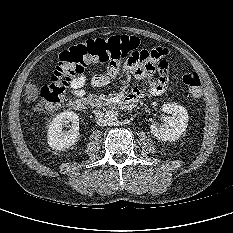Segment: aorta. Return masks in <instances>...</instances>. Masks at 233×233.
I'll use <instances>...</instances> for the list:
<instances>
[{"label": "aorta", "instance_id": "obj_1", "mask_svg": "<svg viewBox=\"0 0 233 233\" xmlns=\"http://www.w3.org/2000/svg\"><path fill=\"white\" fill-rule=\"evenodd\" d=\"M106 118L108 123L115 122L118 119V112L115 110H108L106 112Z\"/></svg>", "mask_w": 233, "mask_h": 233}]
</instances>
